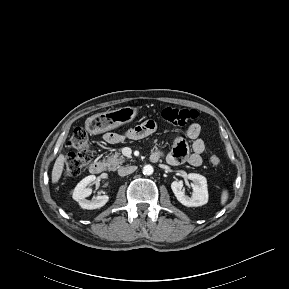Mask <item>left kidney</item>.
Wrapping results in <instances>:
<instances>
[{
	"label": "left kidney",
	"mask_w": 289,
	"mask_h": 289,
	"mask_svg": "<svg viewBox=\"0 0 289 289\" xmlns=\"http://www.w3.org/2000/svg\"><path fill=\"white\" fill-rule=\"evenodd\" d=\"M187 178L193 181V193L191 197L185 195L182 189L183 181H173L171 183V189L175 194L177 200L187 207H198L205 205L208 202V189L206 178L196 173L188 174Z\"/></svg>",
	"instance_id": "5707ae66"
}]
</instances>
